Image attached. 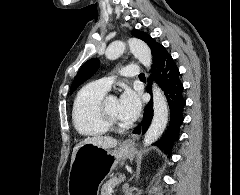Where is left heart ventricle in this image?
<instances>
[{
    "instance_id": "obj_1",
    "label": "left heart ventricle",
    "mask_w": 240,
    "mask_h": 195,
    "mask_svg": "<svg viewBox=\"0 0 240 195\" xmlns=\"http://www.w3.org/2000/svg\"><path fill=\"white\" fill-rule=\"evenodd\" d=\"M109 109L111 113L117 118L122 120L121 114H120V105H119V99L116 97H112L109 101Z\"/></svg>"
}]
</instances>
